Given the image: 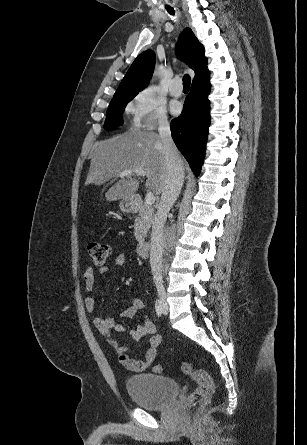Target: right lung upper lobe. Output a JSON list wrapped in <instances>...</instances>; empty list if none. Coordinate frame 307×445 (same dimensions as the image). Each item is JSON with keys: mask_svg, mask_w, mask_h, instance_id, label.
I'll return each mask as SVG.
<instances>
[{"mask_svg": "<svg viewBox=\"0 0 307 445\" xmlns=\"http://www.w3.org/2000/svg\"><path fill=\"white\" fill-rule=\"evenodd\" d=\"M176 52L178 57L183 59L195 71V77L208 70L207 58L204 56V47L189 28L182 32ZM154 66L155 53L152 50L141 53L122 79L111 102L135 97L138 92L148 85Z\"/></svg>", "mask_w": 307, "mask_h": 445, "instance_id": "1", "label": "right lung upper lobe"}]
</instances>
